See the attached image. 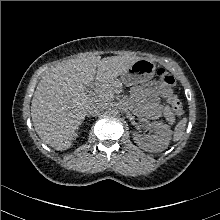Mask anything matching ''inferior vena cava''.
<instances>
[{
  "label": "inferior vena cava",
  "mask_w": 220,
  "mask_h": 220,
  "mask_svg": "<svg viewBox=\"0 0 220 220\" xmlns=\"http://www.w3.org/2000/svg\"><path fill=\"white\" fill-rule=\"evenodd\" d=\"M104 109V105L102 103H94L90 106L88 109V114L89 116H95L98 113H100Z\"/></svg>",
  "instance_id": "obj_1"
}]
</instances>
